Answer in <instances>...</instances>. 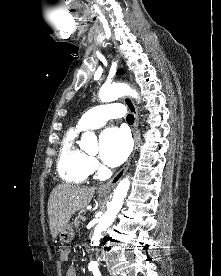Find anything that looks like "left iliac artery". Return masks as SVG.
Returning <instances> with one entry per match:
<instances>
[{
	"label": "left iliac artery",
	"instance_id": "1",
	"mask_svg": "<svg viewBox=\"0 0 221 276\" xmlns=\"http://www.w3.org/2000/svg\"><path fill=\"white\" fill-rule=\"evenodd\" d=\"M93 275H94V276H101V273H100L99 270L96 268V269H94V271H93Z\"/></svg>",
	"mask_w": 221,
	"mask_h": 276
}]
</instances>
